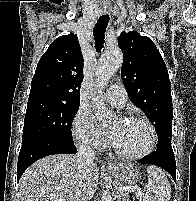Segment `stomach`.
Returning a JSON list of instances; mask_svg holds the SVG:
<instances>
[{
	"mask_svg": "<svg viewBox=\"0 0 196 201\" xmlns=\"http://www.w3.org/2000/svg\"><path fill=\"white\" fill-rule=\"evenodd\" d=\"M110 172L114 175L120 186L133 187L140 179L139 171L130 165L115 167Z\"/></svg>",
	"mask_w": 196,
	"mask_h": 201,
	"instance_id": "0dacf381",
	"label": "stomach"
}]
</instances>
